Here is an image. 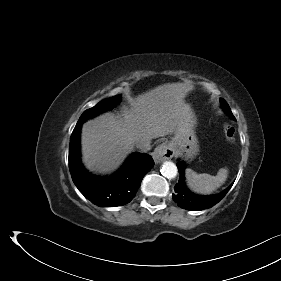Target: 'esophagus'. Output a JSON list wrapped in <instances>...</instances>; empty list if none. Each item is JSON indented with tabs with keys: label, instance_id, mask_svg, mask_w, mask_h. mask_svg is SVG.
<instances>
[{
	"label": "esophagus",
	"instance_id": "obj_1",
	"mask_svg": "<svg viewBox=\"0 0 281 281\" xmlns=\"http://www.w3.org/2000/svg\"><path fill=\"white\" fill-rule=\"evenodd\" d=\"M153 159L155 163H160L164 160H169L174 156V149L168 143L158 145L153 152Z\"/></svg>",
	"mask_w": 281,
	"mask_h": 281
}]
</instances>
